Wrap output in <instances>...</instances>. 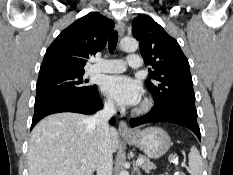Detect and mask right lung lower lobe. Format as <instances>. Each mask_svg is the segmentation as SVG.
I'll list each match as a JSON object with an SVG mask.
<instances>
[{"instance_id": "98d812e1", "label": "right lung lower lobe", "mask_w": 233, "mask_h": 175, "mask_svg": "<svg viewBox=\"0 0 233 175\" xmlns=\"http://www.w3.org/2000/svg\"><path fill=\"white\" fill-rule=\"evenodd\" d=\"M103 104L96 89L85 95H53L35 100V111L31 128L47 115L59 112L93 114L102 109ZM115 125V119L110 120Z\"/></svg>"}]
</instances>
